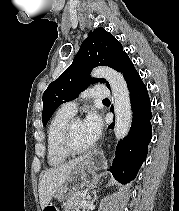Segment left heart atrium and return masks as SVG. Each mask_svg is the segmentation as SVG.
Wrapping results in <instances>:
<instances>
[{"label": "left heart atrium", "instance_id": "obj_1", "mask_svg": "<svg viewBox=\"0 0 179 211\" xmlns=\"http://www.w3.org/2000/svg\"><path fill=\"white\" fill-rule=\"evenodd\" d=\"M84 129L89 139L94 143L99 139L102 133L103 122L101 117L96 112L87 114L83 121Z\"/></svg>", "mask_w": 179, "mask_h": 211}]
</instances>
